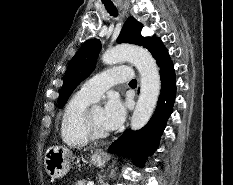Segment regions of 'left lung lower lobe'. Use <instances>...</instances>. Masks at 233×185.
Listing matches in <instances>:
<instances>
[{
  "label": "left lung lower lobe",
  "instance_id": "left-lung-lower-lobe-1",
  "mask_svg": "<svg viewBox=\"0 0 233 185\" xmlns=\"http://www.w3.org/2000/svg\"><path fill=\"white\" fill-rule=\"evenodd\" d=\"M150 52L160 67L161 78V94L154 115L142 129L135 132L125 131L109 147L110 152L128 156L140 167L144 166L147 156H151L158 147L166 122L172 113L176 96L175 71L161 40Z\"/></svg>",
  "mask_w": 233,
  "mask_h": 185
}]
</instances>
